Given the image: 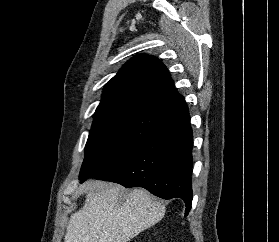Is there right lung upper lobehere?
<instances>
[{
    "instance_id": "obj_1",
    "label": "right lung upper lobe",
    "mask_w": 279,
    "mask_h": 242,
    "mask_svg": "<svg viewBox=\"0 0 279 242\" xmlns=\"http://www.w3.org/2000/svg\"><path fill=\"white\" fill-rule=\"evenodd\" d=\"M186 105L166 67L156 57L137 55L105 85L96 114H162Z\"/></svg>"
}]
</instances>
